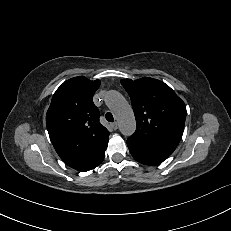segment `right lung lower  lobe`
<instances>
[{
    "instance_id": "1",
    "label": "right lung lower lobe",
    "mask_w": 231,
    "mask_h": 231,
    "mask_svg": "<svg viewBox=\"0 0 231 231\" xmlns=\"http://www.w3.org/2000/svg\"><path fill=\"white\" fill-rule=\"evenodd\" d=\"M104 156H105V154L103 155V157L100 158V163L103 161ZM100 163H99V164H100ZM99 164H98V165H99Z\"/></svg>"
}]
</instances>
